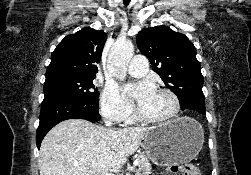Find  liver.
Listing matches in <instances>:
<instances>
[{
  "label": "liver",
  "instance_id": "6515ba94",
  "mask_svg": "<svg viewBox=\"0 0 251 175\" xmlns=\"http://www.w3.org/2000/svg\"><path fill=\"white\" fill-rule=\"evenodd\" d=\"M149 127H102L87 119H65L45 135L40 175H86L119 169L141 145Z\"/></svg>",
  "mask_w": 251,
  "mask_h": 175
}]
</instances>
